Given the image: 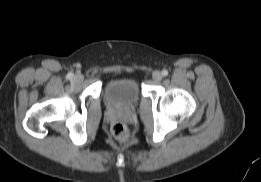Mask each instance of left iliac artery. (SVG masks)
<instances>
[{
	"label": "left iliac artery",
	"mask_w": 261,
	"mask_h": 182,
	"mask_svg": "<svg viewBox=\"0 0 261 182\" xmlns=\"http://www.w3.org/2000/svg\"><path fill=\"white\" fill-rule=\"evenodd\" d=\"M162 75H163V76H167V75H168V71H167V70H163V71H162Z\"/></svg>",
	"instance_id": "obj_1"
}]
</instances>
